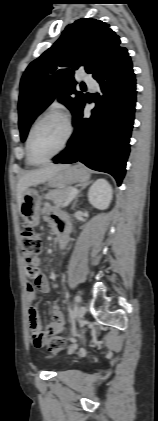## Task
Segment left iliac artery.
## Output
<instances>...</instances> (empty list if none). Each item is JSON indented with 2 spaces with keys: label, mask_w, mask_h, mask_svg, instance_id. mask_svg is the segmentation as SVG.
<instances>
[{
  "label": "left iliac artery",
  "mask_w": 158,
  "mask_h": 421,
  "mask_svg": "<svg viewBox=\"0 0 158 421\" xmlns=\"http://www.w3.org/2000/svg\"><path fill=\"white\" fill-rule=\"evenodd\" d=\"M74 299L77 303L81 302V297L79 295H76Z\"/></svg>",
  "instance_id": "1"
}]
</instances>
